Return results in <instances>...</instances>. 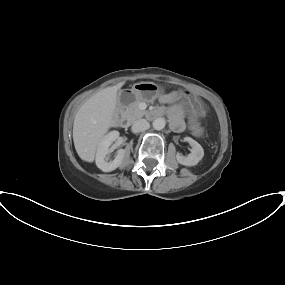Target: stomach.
<instances>
[{"label":"stomach","instance_id":"0dacf381","mask_svg":"<svg viewBox=\"0 0 285 285\" xmlns=\"http://www.w3.org/2000/svg\"><path fill=\"white\" fill-rule=\"evenodd\" d=\"M159 91V87L153 82H140L133 85L131 93L134 100L149 102L158 96ZM177 100L186 115L194 117L204 115L205 108L199 97L180 92Z\"/></svg>","mask_w":285,"mask_h":285}]
</instances>
